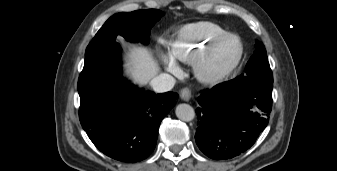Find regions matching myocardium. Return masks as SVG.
<instances>
[{
    "label": "myocardium",
    "instance_id": "1",
    "mask_svg": "<svg viewBox=\"0 0 337 171\" xmlns=\"http://www.w3.org/2000/svg\"><path fill=\"white\" fill-rule=\"evenodd\" d=\"M227 40H235L238 45V54L234 61L220 72H212L208 68V61L215 49ZM244 57L242 39L234 33H226L211 40L192 62L193 73L198 81L208 85H218L227 81L239 67Z\"/></svg>",
    "mask_w": 337,
    "mask_h": 171
}]
</instances>
